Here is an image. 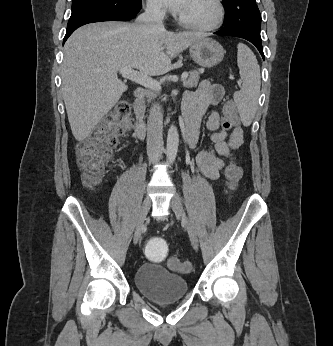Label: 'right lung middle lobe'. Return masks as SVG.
Returning <instances> with one entry per match:
<instances>
[{
	"mask_svg": "<svg viewBox=\"0 0 333 346\" xmlns=\"http://www.w3.org/2000/svg\"><path fill=\"white\" fill-rule=\"evenodd\" d=\"M141 0H73L68 25L79 18L91 15H126L139 8Z\"/></svg>",
	"mask_w": 333,
	"mask_h": 346,
	"instance_id": "right-lung-middle-lobe-1",
	"label": "right lung middle lobe"
}]
</instances>
